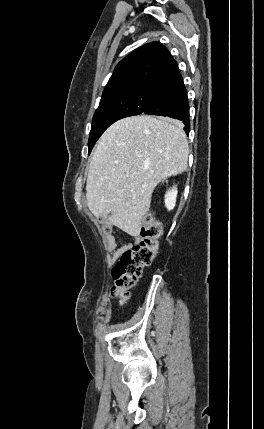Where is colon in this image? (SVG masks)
<instances>
[{"label": "colon", "instance_id": "colon-1", "mask_svg": "<svg viewBox=\"0 0 264 429\" xmlns=\"http://www.w3.org/2000/svg\"><path fill=\"white\" fill-rule=\"evenodd\" d=\"M162 226L151 216L144 218L140 231V241L119 256L112 269L114 283L111 288L112 296L125 302L129 290L136 284L144 267L150 265L155 257L159 240L162 236Z\"/></svg>", "mask_w": 264, "mask_h": 429}]
</instances>
